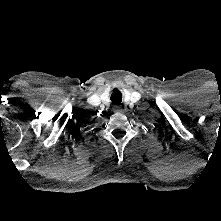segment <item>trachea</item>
<instances>
[{
    "mask_svg": "<svg viewBox=\"0 0 221 221\" xmlns=\"http://www.w3.org/2000/svg\"><path fill=\"white\" fill-rule=\"evenodd\" d=\"M111 101L114 104H120L122 101V94L118 89H114L111 94Z\"/></svg>",
    "mask_w": 221,
    "mask_h": 221,
    "instance_id": "3493384b",
    "label": "trachea"
}]
</instances>
